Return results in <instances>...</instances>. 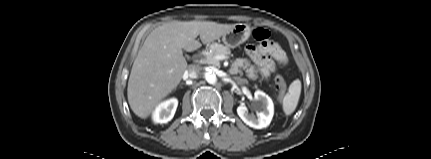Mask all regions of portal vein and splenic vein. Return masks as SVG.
<instances>
[{"mask_svg": "<svg viewBox=\"0 0 431 159\" xmlns=\"http://www.w3.org/2000/svg\"><path fill=\"white\" fill-rule=\"evenodd\" d=\"M227 57L225 56V55H222V54H220V55H216L215 56V59L216 60H224V59H226Z\"/></svg>", "mask_w": 431, "mask_h": 159, "instance_id": "obj_1", "label": "portal vein and splenic vein"}]
</instances>
